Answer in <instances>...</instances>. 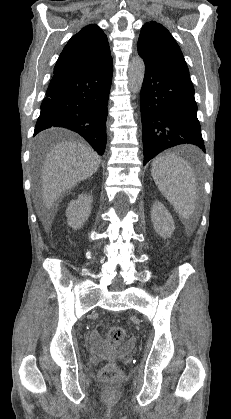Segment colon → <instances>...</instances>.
Returning <instances> with one entry per match:
<instances>
[{
	"mask_svg": "<svg viewBox=\"0 0 231 419\" xmlns=\"http://www.w3.org/2000/svg\"><path fill=\"white\" fill-rule=\"evenodd\" d=\"M125 339V330L120 325L112 326L106 336V343L110 351L117 349ZM119 376V368L113 362L107 363L99 372V377L108 384L115 383Z\"/></svg>",
	"mask_w": 231,
	"mask_h": 419,
	"instance_id": "1",
	"label": "colon"
}]
</instances>
